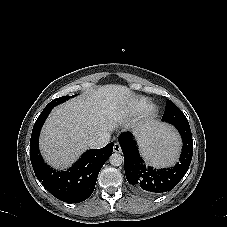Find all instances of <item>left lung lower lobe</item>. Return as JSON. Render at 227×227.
<instances>
[{"label": "left lung lower lobe", "mask_w": 227, "mask_h": 227, "mask_svg": "<svg viewBox=\"0 0 227 227\" xmlns=\"http://www.w3.org/2000/svg\"><path fill=\"white\" fill-rule=\"evenodd\" d=\"M162 121L174 125L183 140L180 160L174 167L157 170L146 166L132 133L124 132L119 136V144L124 153L127 181L136 192L145 196H158L171 191L188 171L193 156V140L189 122L174 103L166 105Z\"/></svg>", "instance_id": "1"}]
</instances>
